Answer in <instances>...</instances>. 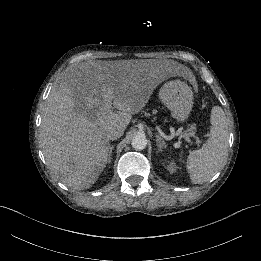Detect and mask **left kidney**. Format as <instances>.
<instances>
[{
  "instance_id": "5707ae66",
  "label": "left kidney",
  "mask_w": 261,
  "mask_h": 261,
  "mask_svg": "<svg viewBox=\"0 0 261 261\" xmlns=\"http://www.w3.org/2000/svg\"><path fill=\"white\" fill-rule=\"evenodd\" d=\"M173 164H175V163H173ZM167 169H168L169 172H173L174 171V168L169 167V166H167Z\"/></svg>"
}]
</instances>
